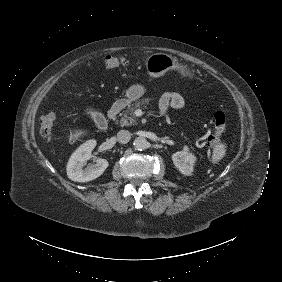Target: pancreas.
I'll return each mask as SVG.
<instances>
[{"label":"pancreas","mask_w":282,"mask_h":282,"mask_svg":"<svg viewBox=\"0 0 282 282\" xmlns=\"http://www.w3.org/2000/svg\"><path fill=\"white\" fill-rule=\"evenodd\" d=\"M145 101L135 102L134 104H129L126 110L121 114L120 125L131 126L137 124L136 116L134 114L135 109L139 108Z\"/></svg>","instance_id":"obj_1"}]
</instances>
